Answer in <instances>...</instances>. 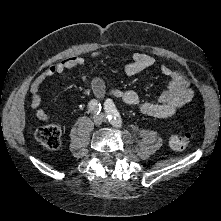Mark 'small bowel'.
<instances>
[{
  "mask_svg": "<svg viewBox=\"0 0 221 221\" xmlns=\"http://www.w3.org/2000/svg\"><path fill=\"white\" fill-rule=\"evenodd\" d=\"M101 52L96 51L92 54L93 58H98ZM85 63V59L75 55L68 57L54 65L46 68L31 84V107L35 110L36 116L41 121H48L49 115L41 108L40 88L42 84L50 77L56 74H62L65 71L79 67ZM155 59L144 53H134L132 61L124 66V73L128 76H134L138 73L154 66ZM161 73L169 81L166 90L159 96L158 100H143L133 90L108 89L100 76H94L90 80L84 77L94 96L103 99L110 94L121 100L127 105L137 107L143 114L158 118L170 117L177 112L179 108L190 102L194 96L188 78L180 71L163 64L160 67Z\"/></svg>",
  "mask_w": 221,
  "mask_h": 221,
  "instance_id": "1",
  "label": "small bowel"
}]
</instances>
